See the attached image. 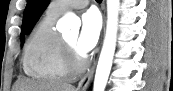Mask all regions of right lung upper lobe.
Wrapping results in <instances>:
<instances>
[{"label": "right lung upper lobe", "instance_id": "cb5924a9", "mask_svg": "<svg viewBox=\"0 0 173 91\" xmlns=\"http://www.w3.org/2000/svg\"><path fill=\"white\" fill-rule=\"evenodd\" d=\"M49 1L48 0H39L38 4L36 5L29 25H28V29H27V34L32 30L33 26L35 25V23L38 21L40 15L42 14V12L45 10V8L47 7Z\"/></svg>", "mask_w": 173, "mask_h": 91}]
</instances>
